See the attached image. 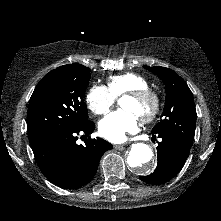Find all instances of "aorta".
I'll use <instances>...</instances> for the list:
<instances>
[{
  "label": "aorta",
  "instance_id": "762f6f07",
  "mask_svg": "<svg viewBox=\"0 0 221 221\" xmlns=\"http://www.w3.org/2000/svg\"><path fill=\"white\" fill-rule=\"evenodd\" d=\"M128 169L137 175H146L155 168V159L152 149L144 143L133 144L126 156Z\"/></svg>",
  "mask_w": 221,
  "mask_h": 221
}]
</instances>
